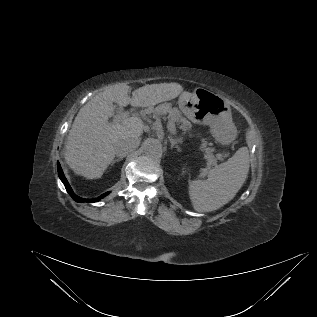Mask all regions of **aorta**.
Wrapping results in <instances>:
<instances>
[{"mask_svg":"<svg viewBox=\"0 0 317 317\" xmlns=\"http://www.w3.org/2000/svg\"><path fill=\"white\" fill-rule=\"evenodd\" d=\"M144 152L150 157H160L162 155V144L157 139H149L144 145Z\"/></svg>","mask_w":317,"mask_h":317,"instance_id":"1","label":"aorta"}]
</instances>
